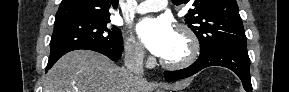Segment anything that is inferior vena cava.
Returning <instances> with one entry per match:
<instances>
[{"label": "inferior vena cava", "instance_id": "602c4592", "mask_svg": "<svg viewBox=\"0 0 289 92\" xmlns=\"http://www.w3.org/2000/svg\"><path fill=\"white\" fill-rule=\"evenodd\" d=\"M143 55V47L138 44H132L127 47L124 58L126 69L140 78H143L144 75Z\"/></svg>", "mask_w": 289, "mask_h": 92}]
</instances>
